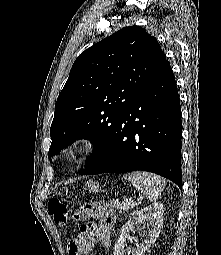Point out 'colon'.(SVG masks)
I'll list each match as a JSON object with an SVG mask.
<instances>
[{
    "instance_id": "5ec220e1",
    "label": "colon",
    "mask_w": 221,
    "mask_h": 255,
    "mask_svg": "<svg viewBox=\"0 0 221 255\" xmlns=\"http://www.w3.org/2000/svg\"><path fill=\"white\" fill-rule=\"evenodd\" d=\"M47 209L57 225L63 226L67 223L68 210L63 202L58 199H50L47 203ZM91 211V204L81 206L73 216L74 221L77 224L84 222L87 218L91 217Z\"/></svg>"
}]
</instances>
